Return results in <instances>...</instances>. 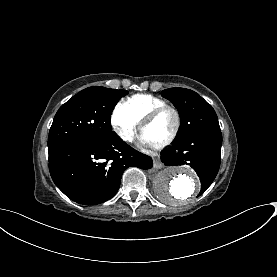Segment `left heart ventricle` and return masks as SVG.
<instances>
[{"label":"left heart ventricle","mask_w":277,"mask_h":277,"mask_svg":"<svg viewBox=\"0 0 277 277\" xmlns=\"http://www.w3.org/2000/svg\"><path fill=\"white\" fill-rule=\"evenodd\" d=\"M175 125V116L172 111H165L152 124L148 125L143 133L156 144L165 140Z\"/></svg>","instance_id":"left-heart-ventricle-1"}]
</instances>
